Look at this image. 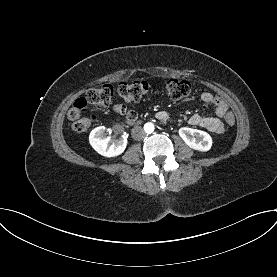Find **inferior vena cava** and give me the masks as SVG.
<instances>
[{
    "mask_svg": "<svg viewBox=\"0 0 277 277\" xmlns=\"http://www.w3.org/2000/svg\"><path fill=\"white\" fill-rule=\"evenodd\" d=\"M131 135L134 140H138V141L146 138V132L141 126L134 127L131 131Z\"/></svg>",
    "mask_w": 277,
    "mask_h": 277,
    "instance_id": "obj_1",
    "label": "inferior vena cava"
}]
</instances>
